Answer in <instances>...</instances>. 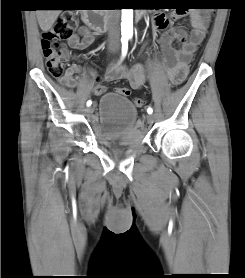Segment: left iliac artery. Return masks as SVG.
I'll return each mask as SVG.
<instances>
[{
  "label": "left iliac artery",
  "instance_id": "1",
  "mask_svg": "<svg viewBox=\"0 0 245 278\" xmlns=\"http://www.w3.org/2000/svg\"><path fill=\"white\" fill-rule=\"evenodd\" d=\"M147 112H148V114H152L153 109H152L151 107H149V108L147 109Z\"/></svg>",
  "mask_w": 245,
  "mask_h": 278
}]
</instances>
